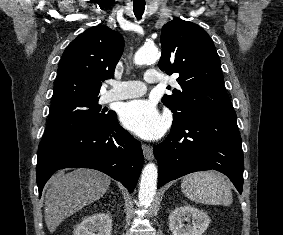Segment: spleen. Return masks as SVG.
<instances>
[{
	"mask_svg": "<svg viewBox=\"0 0 283 235\" xmlns=\"http://www.w3.org/2000/svg\"><path fill=\"white\" fill-rule=\"evenodd\" d=\"M181 190L188 199L199 204L229 206L233 202L229 185L221 174L214 171L186 175Z\"/></svg>",
	"mask_w": 283,
	"mask_h": 235,
	"instance_id": "spleen-1",
	"label": "spleen"
}]
</instances>
